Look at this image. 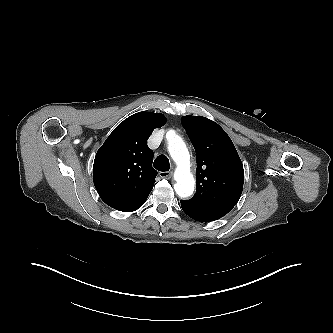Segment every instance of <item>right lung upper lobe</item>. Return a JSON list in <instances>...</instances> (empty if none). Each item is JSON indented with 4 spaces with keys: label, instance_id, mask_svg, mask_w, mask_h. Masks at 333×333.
Returning <instances> with one entry per match:
<instances>
[{
    "label": "right lung upper lobe",
    "instance_id": "1",
    "mask_svg": "<svg viewBox=\"0 0 333 333\" xmlns=\"http://www.w3.org/2000/svg\"><path fill=\"white\" fill-rule=\"evenodd\" d=\"M165 123L161 113H136L121 122L99 148L93 180L107 205L132 212L145 203L157 175L152 168L153 151L146 141Z\"/></svg>",
    "mask_w": 333,
    "mask_h": 333
}]
</instances>
